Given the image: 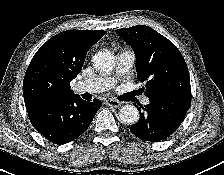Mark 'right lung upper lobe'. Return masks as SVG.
<instances>
[{"mask_svg": "<svg viewBox=\"0 0 224 175\" xmlns=\"http://www.w3.org/2000/svg\"><path fill=\"white\" fill-rule=\"evenodd\" d=\"M105 31L68 30L49 39L33 56L23 81L24 101L72 95L70 82L81 71L88 50Z\"/></svg>", "mask_w": 224, "mask_h": 175, "instance_id": "cb5924a9", "label": "right lung upper lobe"}]
</instances>
